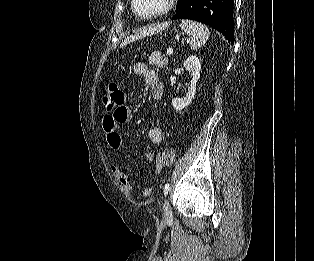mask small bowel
<instances>
[{
    "label": "small bowel",
    "mask_w": 314,
    "mask_h": 261,
    "mask_svg": "<svg viewBox=\"0 0 314 261\" xmlns=\"http://www.w3.org/2000/svg\"><path fill=\"white\" fill-rule=\"evenodd\" d=\"M134 72L144 78L145 83L150 87L151 96L154 100H160L163 96V86L159 79L158 73L148 68L143 62H137L134 65ZM132 119L131 110L122 105L117 109H108L107 115L103 117L102 125L107 134V142L113 150H121L125 147L124 139L118 132V126L130 122ZM149 140L153 144H160L163 141V129L160 124H155L149 131ZM146 158L154 162V173H158L162 164L159 162V155L147 154ZM112 174L119 181L122 188L128 192L133 191L134 185L129 175L121 170V168L112 164L110 166ZM151 192L150 188H144L141 196H148Z\"/></svg>",
    "instance_id": "small-bowel-1"
}]
</instances>
